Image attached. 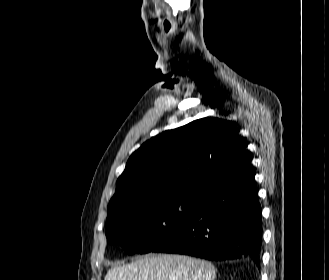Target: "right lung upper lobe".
Here are the masks:
<instances>
[{"instance_id": "obj_1", "label": "right lung upper lobe", "mask_w": 329, "mask_h": 280, "mask_svg": "<svg viewBox=\"0 0 329 280\" xmlns=\"http://www.w3.org/2000/svg\"><path fill=\"white\" fill-rule=\"evenodd\" d=\"M252 159L232 122L205 117L146 141L129 158L109 206L147 197H201Z\"/></svg>"}]
</instances>
